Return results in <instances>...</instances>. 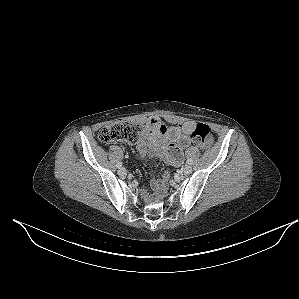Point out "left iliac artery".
<instances>
[{
    "label": "left iliac artery",
    "instance_id": "1",
    "mask_svg": "<svg viewBox=\"0 0 299 299\" xmlns=\"http://www.w3.org/2000/svg\"><path fill=\"white\" fill-rule=\"evenodd\" d=\"M187 163H188V164H192V163H193L192 159H188V160H187Z\"/></svg>",
    "mask_w": 299,
    "mask_h": 299
}]
</instances>
